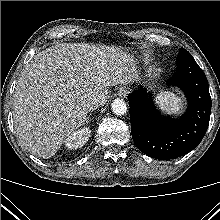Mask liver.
I'll return each mask as SVG.
<instances>
[{"mask_svg":"<svg viewBox=\"0 0 220 220\" xmlns=\"http://www.w3.org/2000/svg\"><path fill=\"white\" fill-rule=\"evenodd\" d=\"M137 77L133 55L116 46L57 44L25 66L13 95V121L22 145L51 158L86 122V102L108 101L110 87Z\"/></svg>","mask_w":220,"mask_h":220,"instance_id":"obj_1","label":"liver"}]
</instances>
